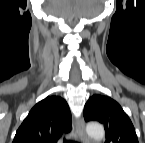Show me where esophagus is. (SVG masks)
Instances as JSON below:
<instances>
[{"instance_id": "esophagus-1", "label": "esophagus", "mask_w": 145, "mask_h": 143, "mask_svg": "<svg viewBox=\"0 0 145 143\" xmlns=\"http://www.w3.org/2000/svg\"><path fill=\"white\" fill-rule=\"evenodd\" d=\"M75 129L81 143H89V139L85 132V124L82 118L76 120Z\"/></svg>"}]
</instances>
